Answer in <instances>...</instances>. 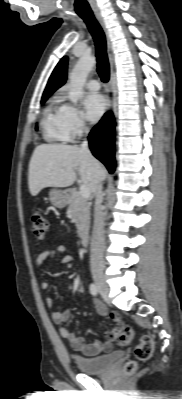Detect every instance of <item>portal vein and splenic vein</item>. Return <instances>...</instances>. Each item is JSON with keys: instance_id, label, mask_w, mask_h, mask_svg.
Here are the masks:
<instances>
[{"instance_id": "18ae733b", "label": "portal vein and splenic vein", "mask_w": 182, "mask_h": 399, "mask_svg": "<svg viewBox=\"0 0 182 399\" xmlns=\"http://www.w3.org/2000/svg\"><path fill=\"white\" fill-rule=\"evenodd\" d=\"M79 193L84 199H88L91 196V191L86 185H81L79 188Z\"/></svg>"}]
</instances>
